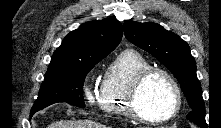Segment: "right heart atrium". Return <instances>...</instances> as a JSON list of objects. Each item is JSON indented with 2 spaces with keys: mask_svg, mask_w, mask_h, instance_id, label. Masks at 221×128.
<instances>
[{
  "mask_svg": "<svg viewBox=\"0 0 221 128\" xmlns=\"http://www.w3.org/2000/svg\"><path fill=\"white\" fill-rule=\"evenodd\" d=\"M85 93L88 97H91L92 96V91H91V88L89 86H86L85 87Z\"/></svg>",
  "mask_w": 221,
  "mask_h": 128,
  "instance_id": "d8ad5b80",
  "label": "right heart atrium"
}]
</instances>
